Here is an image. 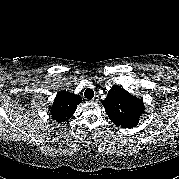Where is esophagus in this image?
Here are the masks:
<instances>
[{
	"mask_svg": "<svg viewBox=\"0 0 179 179\" xmlns=\"http://www.w3.org/2000/svg\"><path fill=\"white\" fill-rule=\"evenodd\" d=\"M99 100V96L98 95H96L93 99H92V101H94V102H97Z\"/></svg>",
	"mask_w": 179,
	"mask_h": 179,
	"instance_id": "1",
	"label": "esophagus"
}]
</instances>
